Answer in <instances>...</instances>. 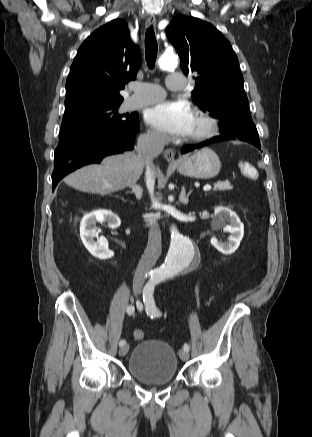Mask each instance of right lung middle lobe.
I'll list each match as a JSON object with an SVG mask.
<instances>
[{
    "label": "right lung middle lobe",
    "mask_w": 312,
    "mask_h": 437,
    "mask_svg": "<svg viewBox=\"0 0 312 437\" xmlns=\"http://www.w3.org/2000/svg\"><path fill=\"white\" fill-rule=\"evenodd\" d=\"M119 105L94 103L67 107L61 124L59 144L101 130L125 126L137 118L135 114H118Z\"/></svg>",
    "instance_id": "dd1d6c3e"
}]
</instances>
